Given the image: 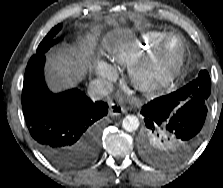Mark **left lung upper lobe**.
Masks as SVG:
<instances>
[{"label": "left lung upper lobe", "instance_id": "left-lung-upper-lobe-1", "mask_svg": "<svg viewBox=\"0 0 223 188\" xmlns=\"http://www.w3.org/2000/svg\"><path fill=\"white\" fill-rule=\"evenodd\" d=\"M210 92V76L206 70H202L194 81L171 93L170 96L181 103L191 100L206 105ZM141 155L156 165H169L185 157L179 152L178 143L169 132L161 129L151 131L145 128L141 133Z\"/></svg>", "mask_w": 223, "mask_h": 188}]
</instances>
